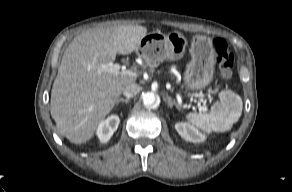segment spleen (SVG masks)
Masks as SVG:
<instances>
[{
  "instance_id": "spleen-1",
  "label": "spleen",
  "mask_w": 292,
  "mask_h": 192,
  "mask_svg": "<svg viewBox=\"0 0 292 192\" xmlns=\"http://www.w3.org/2000/svg\"><path fill=\"white\" fill-rule=\"evenodd\" d=\"M242 108L241 97L227 90L220 93V101L212 106L210 113H189L186 119L206 133L226 132L239 120Z\"/></svg>"
}]
</instances>
